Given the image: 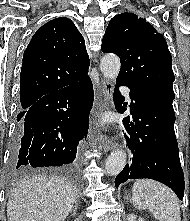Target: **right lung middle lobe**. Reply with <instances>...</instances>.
Segmentation results:
<instances>
[{
  "mask_svg": "<svg viewBox=\"0 0 190 221\" xmlns=\"http://www.w3.org/2000/svg\"><path fill=\"white\" fill-rule=\"evenodd\" d=\"M21 120V117L18 115L17 116V121H20Z\"/></svg>",
  "mask_w": 190,
  "mask_h": 221,
  "instance_id": "dd1d6c3e",
  "label": "right lung middle lobe"
}]
</instances>
